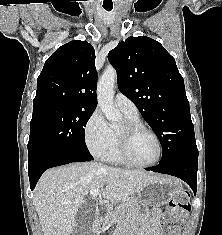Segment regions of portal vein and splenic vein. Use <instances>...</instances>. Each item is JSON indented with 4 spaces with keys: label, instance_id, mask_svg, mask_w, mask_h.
I'll list each match as a JSON object with an SVG mask.
<instances>
[{
    "label": "portal vein and splenic vein",
    "instance_id": "18ae733b",
    "mask_svg": "<svg viewBox=\"0 0 222 235\" xmlns=\"http://www.w3.org/2000/svg\"><path fill=\"white\" fill-rule=\"evenodd\" d=\"M99 192H100V189H99V188H95V189H93V190L90 191V194H91L93 197H95V196H97V195L99 194Z\"/></svg>",
    "mask_w": 222,
    "mask_h": 235
}]
</instances>
